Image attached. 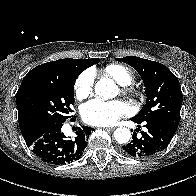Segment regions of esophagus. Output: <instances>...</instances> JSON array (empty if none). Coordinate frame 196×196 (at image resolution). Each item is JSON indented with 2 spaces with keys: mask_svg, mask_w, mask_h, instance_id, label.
Returning <instances> with one entry per match:
<instances>
[{
  "mask_svg": "<svg viewBox=\"0 0 196 196\" xmlns=\"http://www.w3.org/2000/svg\"><path fill=\"white\" fill-rule=\"evenodd\" d=\"M114 129H115V127L105 128V130H109V131H113Z\"/></svg>",
  "mask_w": 196,
  "mask_h": 196,
  "instance_id": "obj_1",
  "label": "esophagus"
}]
</instances>
